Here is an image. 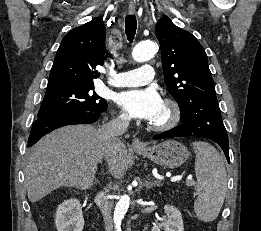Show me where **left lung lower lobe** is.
<instances>
[{
	"mask_svg": "<svg viewBox=\"0 0 261 231\" xmlns=\"http://www.w3.org/2000/svg\"><path fill=\"white\" fill-rule=\"evenodd\" d=\"M185 136H197V137H204L211 139L218 143L224 150V154L229 162V144H228V139L225 138H209L207 135L203 134L201 131L198 129L187 125V124H182L177 126L176 128H173L169 131L163 132L161 134L155 135L153 139H164V138H172V137H185Z\"/></svg>",
	"mask_w": 261,
	"mask_h": 231,
	"instance_id": "obj_1",
	"label": "left lung lower lobe"
}]
</instances>
